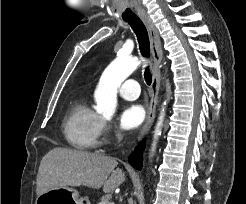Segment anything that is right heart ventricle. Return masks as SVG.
<instances>
[{
  "instance_id": "right-heart-ventricle-1",
  "label": "right heart ventricle",
  "mask_w": 246,
  "mask_h": 204,
  "mask_svg": "<svg viewBox=\"0 0 246 204\" xmlns=\"http://www.w3.org/2000/svg\"><path fill=\"white\" fill-rule=\"evenodd\" d=\"M104 127L103 118L83 98L70 105L63 121L64 137L67 143L77 150L97 148Z\"/></svg>"
}]
</instances>
